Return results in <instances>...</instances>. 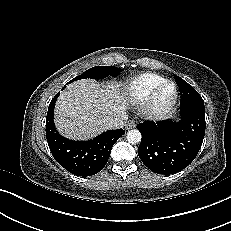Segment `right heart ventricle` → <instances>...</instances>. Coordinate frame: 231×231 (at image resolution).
Masks as SVG:
<instances>
[{"label": "right heart ventricle", "mask_w": 231, "mask_h": 231, "mask_svg": "<svg viewBox=\"0 0 231 231\" xmlns=\"http://www.w3.org/2000/svg\"><path fill=\"white\" fill-rule=\"evenodd\" d=\"M162 81L164 78L154 73L140 74L127 81L124 86L125 95L132 105L141 104Z\"/></svg>", "instance_id": "obj_1"}]
</instances>
